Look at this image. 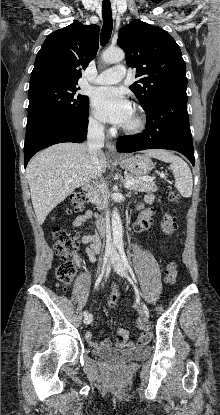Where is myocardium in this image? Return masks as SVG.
Returning a JSON list of instances; mask_svg holds the SVG:
<instances>
[{
  "label": "myocardium",
  "instance_id": "f54148a6",
  "mask_svg": "<svg viewBox=\"0 0 220 415\" xmlns=\"http://www.w3.org/2000/svg\"><path fill=\"white\" fill-rule=\"evenodd\" d=\"M133 114H134L133 123L128 124V125L125 124L123 126V130L127 133L135 134V133H139L144 130L146 126V120H145L144 115L139 109H135Z\"/></svg>",
  "mask_w": 220,
  "mask_h": 415
}]
</instances>
